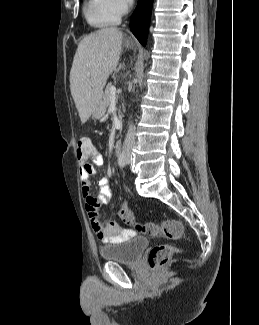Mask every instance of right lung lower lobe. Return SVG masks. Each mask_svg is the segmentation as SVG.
<instances>
[{
  "label": "right lung lower lobe",
  "mask_w": 259,
  "mask_h": 325,
  "mask_svg": "<svg viewBox=\"0 0 259 325\" xmlns=\"http://www.w3.org/2000/svg\"><path fill=\"white\" fill-rule=\"evenodd\" d=\"M153 0H139L131 18V31L145 46L151 17Z\"/></svg>",
  "instance_id": "right-lung-lower-lobe-1"
}]
</instances>
